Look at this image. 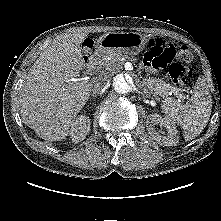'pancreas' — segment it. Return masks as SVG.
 <instances>
[{
    "label": "pancreas",
    "mask_w": 221,
    "mask_h": 221,
    "mask_svg": "<svg viewBox=\"0 0 221 221\" xmlns=\"http://www.w3.org/2000/svg\"><path fill=\"white\" fill-rule=\"evenodd\" d=\"M126 61H133V59L126 54L113 53L109 55L108 59L103 62V66L106 70L113 71L114 69L124 64ZM143 84L151 91H154L155 94L162 97H167L169 92L178 94L179 91L177 88L157 78H145L143 79Z\"/></svg>",
    "instance_id": "pancreas-1"
}]
</instances>
